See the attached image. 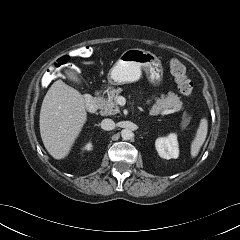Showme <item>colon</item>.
<instances>
[{
  "mask_svg": "<svg viewBox=\"0 0 240 240\" xmlns=\"http://www.w3.org/2000/svg\"><path fill=\"white\" fill-rule=\"evenodd\" d=\"M92 54V49L83 46L73 50L70 54L60 57L54 64L56 68L68 66L73 58H88ZM170 72L178 86L180 92L186 96H191L193 92V83L188 78L185 65L178 59H172L169 64Z\"/></svg>",
  "mask_w": 240,
  "mask_h": 240,
  "instance_id": "colon-1",
  "label": "colon"
}]
</instances>
